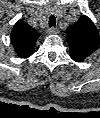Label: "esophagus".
Listing matches in <instances>:
<instances>
[{
  "label": "esophagus",
  "instance_id": "esophagus-1",
  "mask_svg": "<svg viewBox=\"0 0 100 118\" xmlns=\"http://www.w3.org/2000/svg\"><path fill=\"white\" fill-rule=\"evenodd\" d=\"M59 32L58 28L56 27H51L46 30L47 34H57Z\"/></svg>",
  "mask_w": 100,
  "mask_h": 118
}]
</instances>
